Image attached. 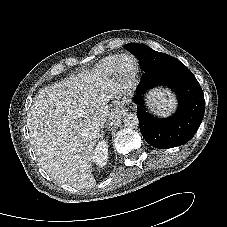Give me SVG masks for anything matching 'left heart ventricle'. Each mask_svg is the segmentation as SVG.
<instances>
[{"mask_svg":"<svg viewBox=\"0 0 227 227\" xmlns=\"http://www.w3.org/2000/svg\"><path fill=\"white\" fill-rule=\"evenodd\" d=\"M132 64H133L132 61L129 60V59L125 61V66H126V67H131Z\"/></svg>","mask_w":227,"mask_h":227,"instance_id":"obj_1","label":"left heart ventricle"}]
</instances>
